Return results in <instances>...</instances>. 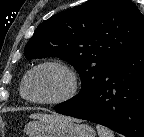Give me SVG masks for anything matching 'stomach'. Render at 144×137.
Masks as SVG:
<instances>
[{"instance_id":"stomach-1","label":"stomach","mask_w":144,"mask_h":137,"mask_svg":"<svg viewBox=\"0 0 144 137\" xmlns=\"http://www.w3.org/2000/svg\"><path fill=\"white\" fill-rule=\"evenodd\" d=\"M24 132L28 137H96L92 127L77 124L69 117L28 123Z\"/></svg>"}]
</instances>
